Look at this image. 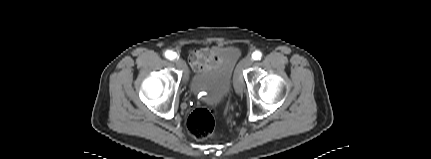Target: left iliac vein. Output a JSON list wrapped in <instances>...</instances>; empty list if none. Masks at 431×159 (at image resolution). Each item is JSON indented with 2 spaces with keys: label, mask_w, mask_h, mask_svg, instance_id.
Returning a JSON list of instances; mask_svg holds the SVG:
<instances>
[{
  "label": "left iliac vein",
  "mask_w": 431,
  "mask_h": 159,
  "mask_svg": "<svg viewBox=\"0 0 431 159\" xmlns=\"http://www.w3.org/2000/svg\"><path fill=\"white\" fill-rule=\"evenodd\" d=\"M253 63V60L250 56L245 57L240 64V69L245 67H250ZM235 90L239 95H242L244 92V83L242 79L238 76L235 81Z\"/></svg>",
  "instance_id": "left-iliac-vein-1"
}]
</instances>
